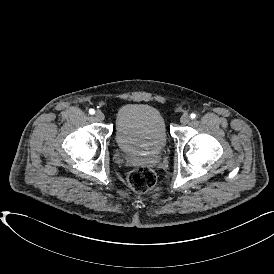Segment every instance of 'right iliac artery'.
Returning a JSON list of instances; mask_svg holds the SVG:
<instances>
[{
	"label": "right iliac artery",
	"instance_id": "82829eb1",
	"mask_svg": "<svg viewBox=\"0 0 274 274\" xmlns=\"http://www.w3.org/2000/svg\"><path fill=\"white\" fill-rule=\"evenodd\" d=\"M89 113H90L91 115H93V114L95 113V110H94V109H90V110H89Z\"/></svg>",
	"mask_w": 274,
	"mask_h": 274
}]
</instances>
